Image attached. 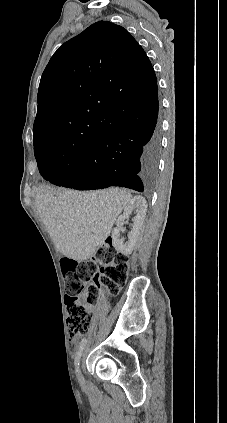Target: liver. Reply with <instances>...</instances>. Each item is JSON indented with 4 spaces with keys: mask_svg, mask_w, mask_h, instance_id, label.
<instances>
[{
    "mask_svg": "<svg viewBox=\"0 0 227 423\" xmlns=\"http://www.w3.org/2000/svg\"><path fill=\"white\" fill-rule=\"evenodd\" d=\"M131 198L130 192L119 188L75 192L46 186L39 190L35 204L56 249L82 261L102 247Z\"/></svg>",
    "mask_w": 227,
    "mask_h": 423,
    "instance_id": "6515ba94",
    "label": "liver"
}]
</instances>
